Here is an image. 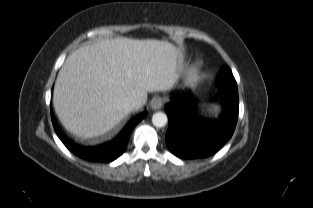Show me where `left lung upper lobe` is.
<instances>
[{"instance_id":"obj_1","label":"left lung upper lobe","mask_w":313,"mask_h":208,"mask_svg":"<svg viewBox=\"0 0 313 208\" xmlns=\"http://www.w3.org/2000/svg\"><path fill=\"white\" fill-rule=\"evenodd\" d=\"M220 80H234L232 71L229 68H224L218 76Z\"/></svg>"}]
</instances>
